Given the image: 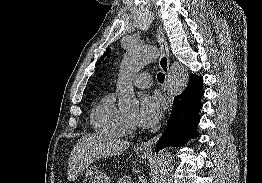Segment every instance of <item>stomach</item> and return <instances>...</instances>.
I'll return each mask as SVG.
<instances>
[{
    "instance_id": "0dacf381",
    "label": "stomach",
    "mask_w": 262,
    "mask_h": 183,
    "mask_svg": "<svg viewBox=\"0 0 262 183\" xmlns=\"http://www.w3.org/2000/svg\"><path fill=\"white\" fill-rule=\"evenodd\" d=\"M141 158L148 156L147 152H136ZM82 183H110V179L104 172L98 170L96 167H89L86 169Z\"/></svg>"
}]
</instances>
